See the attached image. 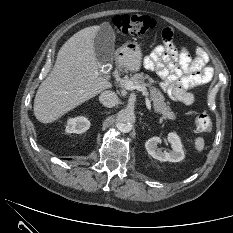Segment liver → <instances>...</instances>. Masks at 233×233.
Here are the masks:
<instances>
[{"label": "liver", "instance_id": "obj_1", "mask_svg": "<svg viewBox=\"0 0 233 233\" xmlns=\"http://www.w3.org/2000/svg\"><path fill=\"white\" fill-rule=\"evenodd\" d=\"M99 27L78 31L59 50L51 73L39 86L34 99V115L38 121L51 123L111 88V83L98 72L94 52V38Z\"/></svg>", "mask_w": 233, "mask_h": 233}]
</instances>
